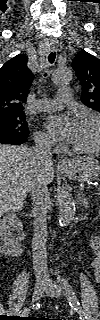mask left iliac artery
Instances as JSON below:
<instances>
[{
  "label": "left iliac artery",
  "instance_id": "left-iliac-artery-1",
  "mask_svg": "<svg viewBox=\"0 0 100 320\" xmlns=\"http://www.w3.org/2000/svg\"><path fill=\"white\" fill-rule=\"evenodd\" d=\"M63 289L65 290V294L67 296V299L69 301L71 308L74 311H77V313L79 314L80 320H86L87 315L82 309V307L80 306V303L76 297L74 290L72 289V286L67 281H64Z\"/></svg>",
  "mask_w": 100,
  "mask_h": 320
}]
</instances>
